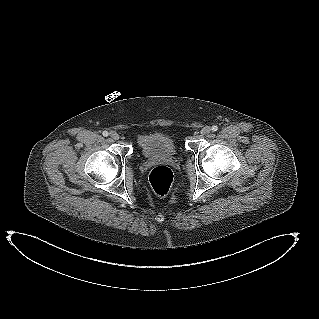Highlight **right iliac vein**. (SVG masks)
Wrapping results in <instances>:
<instances>
[{
  "instance_id": "1",
  "label": "right iliac vein",
  "mask_w": 319,
  "mask_h": 319,
  "mask_svg": "<svg viewBox=\"0 0 319 319\" xmlns=\"http://www.w3.org/2000/svg\"><path fill=\"white\" fill-rule=\"evenodd\" d=\"M110 137L114 140H118L119 139V134L115 131L110 132Z\"/></svg>"
}]
</instances>
